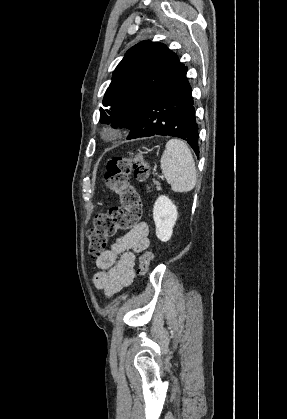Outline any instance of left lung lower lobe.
I'll use <instances>...</instances> for the list:
<instances>
[{"instance_id": "left-lung-lower-lobe-1", "label": "left lung lower lobe", "mask_w": 287, "mask_h": 419, "mask_svg": "<svg viewBox=\"0 0 287 419\" xmlns=\"http://www.w3.org/2000/svg\"><path fill=\"white\" fill-rule=\"evenodd\" d=\"M187 68L173 84L151 97L140 109L128 140L154 135L184 139L199 156V133Z\"/></svg>"}]
</instances>
